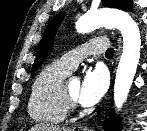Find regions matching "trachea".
<instances>
[{"mask_svg": "<svg viewBox=\"0 0 147 131\" xmlns=\"http://www.w3.org/2000/svg\"><path fill=\"white\" fill-rule=\"evenodd\" d=\"M113 55H114V49L113 48L107 49L105 56L108 58H111V57H113Z\"/></svg>", "mask_w": 147, "mask_h": 131, "instance_id": "1", "label": "trachea"}]
</instances>
